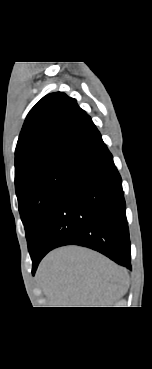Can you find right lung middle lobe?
Wrapping results in <instances>:
<instances>
[{
    "label": "right lung middle lobe",
    "mask_w": 152,
    "mask_h": 369,
    "mask_svg": "<svg viewBox=\"0 0 152 369\" xmlns=\"http://www.w3.org/2000/svg\"><path fill=\"white\" fill-rule=\"evenodd\" d=\"M73 164L58 161L27 173L15 183L30 255Z\"/></svg>",
    "instance_id": "right-lung-middle-lobe-1"
}]
</instances>
